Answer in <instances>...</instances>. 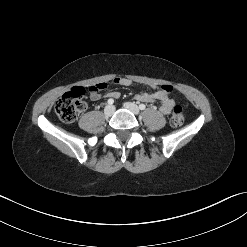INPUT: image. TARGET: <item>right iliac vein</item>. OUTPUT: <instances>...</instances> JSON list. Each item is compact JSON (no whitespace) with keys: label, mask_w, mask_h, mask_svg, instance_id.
Here are the masks:
<instances>
[{"label":"right iliac vein","mask_w":247,"mask_h":247,"mask_svg":"<svg viewBox=\"0 0 247 247\" xmlns=\"http://www.w3.org/2000/svg\"><path fill=\"white\" fill-rule=\"evenodd\" d=\"M114 112H115V108H114V106H112V105H107V106L104 108V114H105V116H107V117L112 116Z\"/></svg>","instance_id":"obj_1"}]
</instances>
